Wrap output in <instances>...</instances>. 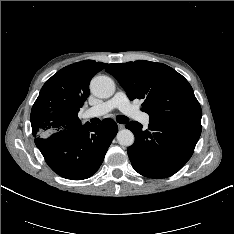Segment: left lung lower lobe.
<instances>
[{"label": "left lung lower lobe", "instance_id": "left-lung-lower-lobe-1", "mask_svg": "<svg viewBox=\"0 0 234 234\" xmlns=\"http://www.w3.org/2000/svg\"><path fill=\"white\" fill-rule=\"evenodd\" d=\"M135 135L127 152L139 174L166 178L179 171L193 154L201 134V121L150 122L146 130L139 122L126 125Z\"/></svg>", "mask_w": 234, "mask_h": 234}]
</instances>
